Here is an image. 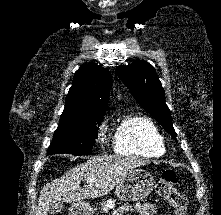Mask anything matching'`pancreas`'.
<instances>
[{
  "mask_svg": "<svg viewBox=\"0 0 221 215\" xmlns=\"http://www.w3.org/2000/svg\"><path fill=\"white\" fill-rule=\"evenodd\" d=\"M102 206H103L102 209H103L104 212L108 211L110 209H113L115 207V200L109 199L106 202H104L102 204Z\"/></svg>",
  "mask_w": 221,
  "mask_h": 215,
  "instance_id": "pancreas-1",
  "label": "pancreas"
}]
</instances>
